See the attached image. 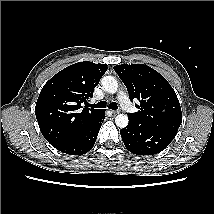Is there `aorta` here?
<instances>
[{"mask_svg":"<svg viewBox=\"0 0 214 214\" xmlns=\"http://www.w3.org/2000/svg\"><path fill=\"white\" fill-rule=\"evenodd\" d=\"M102 88L111 94H114L118 90V83L113 76H104L101 79ZM128 117L125 114H118L115 118V123L120 128H125L128 125Z\"/></svg>","mask_w":214,"mask_h":214,"instance_id":"762f6f07","label":"aorta"}]
</instances>
